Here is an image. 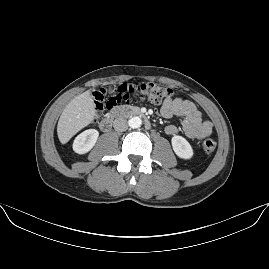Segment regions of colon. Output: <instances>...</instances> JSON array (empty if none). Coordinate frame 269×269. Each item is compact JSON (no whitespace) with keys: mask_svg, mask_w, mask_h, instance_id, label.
Instances as JSON below:
<instances>
[{"mask_svg":"<svg viewBox=\"0 0 269 269\" xmlns=\"http://www.w3.org/2000/svg\"><path fill=\"white\" fill-rule=\"evenodd\" d=\"M173 96L171 88L161 86L154 82H129L127 84H114L106 89V97L102 90H94L92 99L94 101L104 102L107 99L115 98L118 104L124 103H143L145 101L153 104H163L169 101ZM202 149L206 155H211L216 150V142L212 138H206L203 141Z\"/></svg>","mask_w":269,"mask_h":269,"instance_id":"1","label":"colon"}]
</instances>
